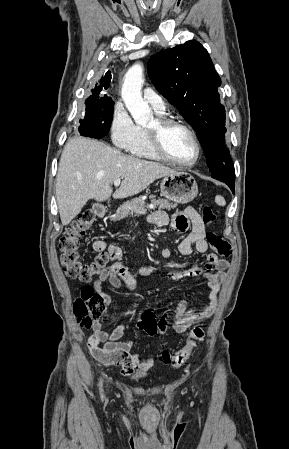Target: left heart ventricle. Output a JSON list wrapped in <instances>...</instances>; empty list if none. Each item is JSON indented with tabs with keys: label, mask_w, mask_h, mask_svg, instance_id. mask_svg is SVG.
Listing matches in <instances>:
<instances>
[{
	"label": "left heart ventricle",
	"mask_w": 289,
	"mask_h": 449,
	"mask_svg": "<svg viewBox=\"0 0 289 449\" xmlns=\"http://www.w3.org/2000/svg\"><path fill=\"white\" fill-rule=\"evenodd\" d=\"M155 121L149 128L155 127ZM167 152L174 159L181 162H191L196 157V146L190 135L179 127H172L164 134Z\"/></svg>",
	"instance_id": "obj_1"
}]
</instances>
